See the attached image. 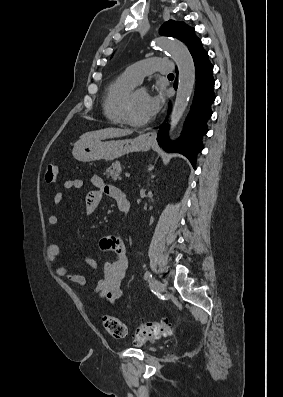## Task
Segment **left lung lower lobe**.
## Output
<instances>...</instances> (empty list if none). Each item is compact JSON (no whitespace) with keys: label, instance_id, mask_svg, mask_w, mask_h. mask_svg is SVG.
<instances>
[{"label":"left lung lower lobe","instance_id":"obj_1","mask_svg":"<svg viewBox=\"0 0 283 397\" xmlns=\"http://www.w3.org/2000/svg\"><path fill=\"white\" fill-rule=\"evenodd\" d=\"M196 69V90L191 111L184 125V131L176 142H169L167 128L162 124L158 132L159 145L168 152L185 155L195 168L198 152L202 151V136L207 133V121L212 115L211 104L215 100L213 65L202 43L189 50ZM176 79L174 88L177 89Z\"/></svg>","mask_w":283,"mask_h":397}]
</instances>
